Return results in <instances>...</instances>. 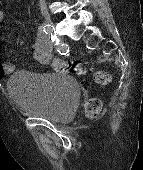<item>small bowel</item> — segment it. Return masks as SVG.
Returning <instances> with one entry per match:
<instances>
[{
	"instance_id": "small-bowel-1",
	"label": "small bowel",
	"mask_w": 143,
	"mask_h": 170,
	"mask_svg": "<svg viewBox=\"0 0 143 170\" xmlns=\"http://www.w3.org/2000/svg\"><path fill=\"white\" fill-rule=\"evenodd\" d=\"M1 2V0H0ZM4 20V13L0 10V23ZM31 52L35 59L42 63H49L51 60V55L47 49H45L40 42H35L31 47ZM58 62L53 63L54 69H56ZM57 70V69H56ZM14 67L8 62H0V79L6 77L13 73Z\"/></svg>"
}]
</instances>
